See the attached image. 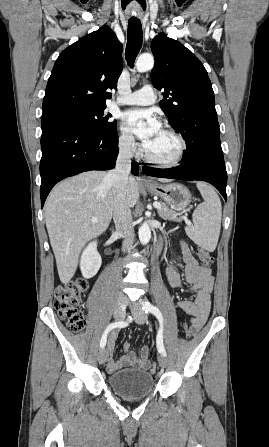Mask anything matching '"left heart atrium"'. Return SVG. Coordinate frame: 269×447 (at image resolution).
Returning a JSON list of instances; mask_svg holds the SVG:
<instances>
[{
	"instance_id": "left-heart-atrium-1",
	"label": "left heart atrium",
	"mask_w": 269,
	"mask_h": 447,
	"mask_svg": "<svg viewBox=\"0 0 269 447\" xmlns=\"http://www.w3.org/2000/svg\"><path fill=\"white\" fill-rule=\"evenodd\" d=\"M161 127L155 115L144 110H129L122 116V128L147 142Z\"/></svg>"
}]
</instances>
